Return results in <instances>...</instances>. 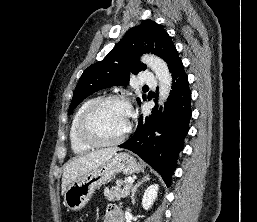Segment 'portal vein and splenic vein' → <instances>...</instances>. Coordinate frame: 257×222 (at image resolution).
I'll list each match as a JSON object with an SVG mask.
<instances>
[{
    "label": "portal vein and splenic vein",
    "mask_w": 257,
    "mask_h": 222,
    "mask_svg": "<svg viewBox=\"0 0 257 222\" xmlns=\"http://www.w3.org/2000/svg\"><path fill=\"white\" fill-rule=\"evenodd\" d=\"M127 181H128L129 183H133V182H134V179L131 178V177H128V178H127Z\"/></svg>",
    "instance_id": "1"
}]
</instances>
